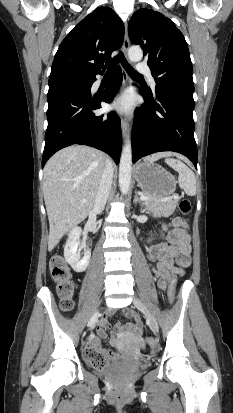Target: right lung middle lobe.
Segmentation results:
<instances>
[{
	"mask_svg": "<svg viewBox=\"0 0 233 413\" xmlns=\"http://www.w3.org/2000/svg\"><path fill=\"white\" fill-rule=\"evenodd\" d=\"M78 79H80V78L72 77V78H63V79H60V80H78ZM60 80H56V81H60ZM49 83H52V82H49Z\"/></svg>",
	"mask_w": 233,
	"mask_h": 413,
	"instance_id": "obj_1",
	"label": "right lung middle lobe"
}]
</instances>
